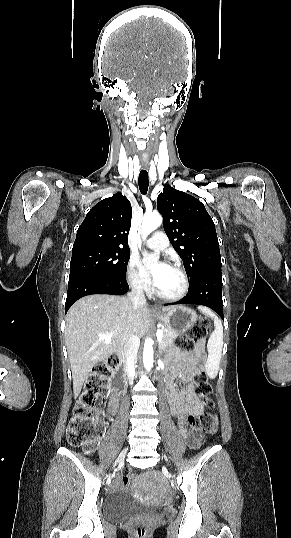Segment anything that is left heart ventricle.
I'll return each mask as SVG.
<instances>
[{
    "label": "left heart ventricle",
    "instance_id": "obj_1",
    "mask_svg": "<svg viewBox=\"0 0 291 538\" xmlns=\"http://www.w3.org/2000/svg\"><path fill=\"white\" fill-rule=\"evenodd\" d=\"M182 286V277L170 267L163 273L159 283L156 285L159 291L167 295L178 293L182 289Z\"/></svg>",
    "mask_w": 291,
    "mask_h": 538
}]
</instances>
